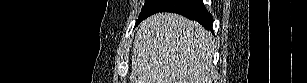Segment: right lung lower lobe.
<instances>
[{"label": "right lung lower lobe", "mask_w": 307, "mask_h": 83, "mask_svg": "<svg viewBox=\"0 0 307 83\" xmlns=\"http://www.w3.org/2000/svg\"><path fill=\"white\" fill-rule=\"evenodd\" d=\"M158 12H174L181 14L196 20L204 28L212 30L213 20L211 15L207 12L202 0H155L145 18Z\"/></svg>", "instance_id": "obj_1"}]
</instances>
